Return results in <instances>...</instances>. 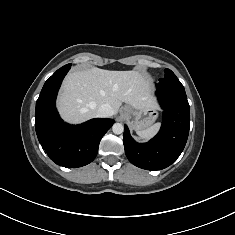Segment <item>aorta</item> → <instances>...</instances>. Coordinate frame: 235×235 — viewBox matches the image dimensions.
<instances>
[{
  "label": "aorta",
  "mask_w": 235,
  "mask_h": 235,
  "mask_svg": "<svg viewBox=\"0 0 235 235\" xmlns=\"http://www.w3.org/2000/svg\"><path fill=\"white\" fill-rule=\"evenodd\" d=\"M124 130V127L121 123H115L113 126H112V131L114 134H121Z\"/></svg>",
  "instance_id": "aorta-1"
}]
</instances>
